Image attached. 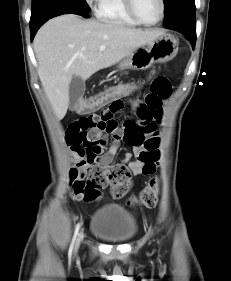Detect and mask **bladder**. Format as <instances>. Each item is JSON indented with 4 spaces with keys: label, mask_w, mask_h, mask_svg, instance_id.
Returning a JSON list of instances; mask_svg holds the SVG:
<instances>
[{
    "label": "bladder",
    "mask_w": 231,
    "mask_h": 281,
    "mask_svg": "<svg viewBox=\"0 0 231 281\" xmlns=\"http://www.w3.org/2000/svg\"><path fill=\"white\" fill-rule=\"evenodd\" d=\"M91 233L105 242L112 244L126 243L137 232L135 218L118 204H105L98 208L91 220Z\"/></svg>",
    "instance_id": "obj_1"
}]
</instances>
